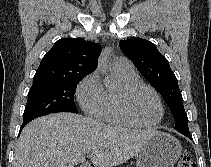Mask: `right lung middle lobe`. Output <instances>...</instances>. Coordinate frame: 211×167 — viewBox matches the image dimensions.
Returning a JSON list of instances; mask_svg holds the SVG:
<instances>
[{
	"mask_svg": "<svg viewBox=\"0 0 211 167\" xmlns=\"http://www.w3.org/2000/svg\"><path fill=\"white\" fill-rule=\"evenodd\" d=\"M82 78L33 83L28 93L23 122L56 112L78 113L74 94Z\"/></svg>",
	"mask_w": 211,
	"mask_h": 167,
	"instance_id": "obj_1",
	"label": "right lung middle lobe"
}]
</instances>
